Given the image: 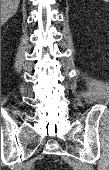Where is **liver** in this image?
I'll return each instance as SVG.
<instances>
[{"label": "liver", "instance_id": "liver-1", "mask_svg": "<svg viewBox=\"0 0 109 170\" xmlns=\"http://www.w3.org/2000/svg\"><path fill=\"white\" fill-rule=\"evenodd\" d=\"M20 0H1V23H6L16 12Z\"/></svg>", "mask_w": 109, "mask_h": 170}]
</instances>
